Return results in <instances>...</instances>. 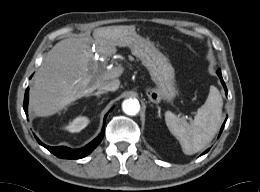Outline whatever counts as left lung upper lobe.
Masks as SVG:
<instances>
[{
  "label": "left lung upper lobe",
  "mask_w": 260,
  "mask_h": 192,
  "mask_svg": "<svg viewBox=\"0 0 260 192\" xmlns=\"http://www.w3.org/2000/svg\"><path fill=\"white\" fill-rule=\"evenodd\" d=\"M217 74H218V75H221L220 69L217 70Z\"/></svg>",
  "instance_id": "left-lung-upper-lobe-1"
}]
</instances>
